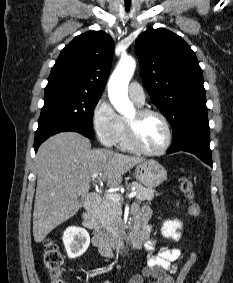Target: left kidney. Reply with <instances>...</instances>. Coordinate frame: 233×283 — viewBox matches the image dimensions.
I'll list each match as a JSON object with an SVG mask.
<instances>
[{
	"mask_svg": "<svg viewBox=\"0 0 233 283\" xmlns=\"http://www.w3.org/2000/svg\"><path fill=\"white\" fill-rule=\"evenodd\" d=\"M182 223L179 222L178 220L174 221H165L162 228L161 232L162 235L166 238H172L175 241H178L181 237V234L177 232V229H181Z\"/></svg>",
	"mask_w": 233,
	"mask_h": 283,
	"instance_id": "left-kidney-1",
	"label": "left kidney"
}]
</instances>
